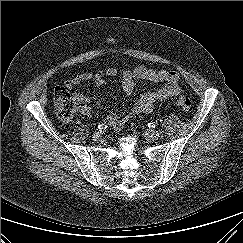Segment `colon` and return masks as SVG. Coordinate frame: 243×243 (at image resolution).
I'll list each match as a JSON object with an SVG mask.
<instances>
[{"mask_svg": "<svg viewBox=\"0 0 243 243\" xmlns=\"http://www.w3.org/2000/svg\"><path fill=\"white\" fill-rule=\"evenodd\" d=\"M176 104L184 111H188L192 106V100L188 95H180L176 99ZM54 106L58 117L62 120H70L76 111L78 104L73 95L64 87H56L54 90Z\"/></svg>", "mask_w": 243, "mask_h": 243, "instance_id": "obj_1", "label": "colon"}]
</instances>
